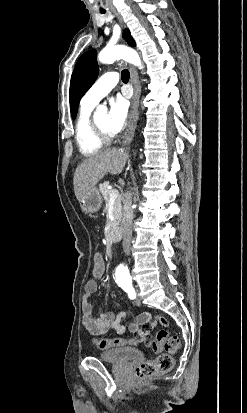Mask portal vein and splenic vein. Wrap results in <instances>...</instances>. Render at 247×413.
Instances as JSON below:
<instances>
[{
    "mask_svg": "<svg viewBox=\"0 0 247 413\" xmlns=\"http://www.w3.org/2000/svg\"><path fill=\"white\" fill-rule=\"evenodd\" d=\"M109 196L110 198H117V196H119L118 190H116V188H111V190H109Z\"/></svg>",
    "mask_w": 247,
    "mask_h": 413,
    "instance_id": "18ae733b",
    "label": "portal vein and splenic vein"
}]
</instances>
